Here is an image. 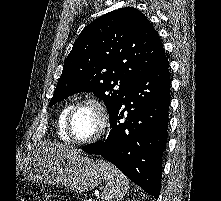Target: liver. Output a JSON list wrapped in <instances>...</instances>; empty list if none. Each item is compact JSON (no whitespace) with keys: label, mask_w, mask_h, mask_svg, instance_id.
<instances>
[{"label":"liver","mask_w":221,"mask_h":201,"mask_svg":"<svg viewBox=\"0 0 221 201\" xmlns=\"http://www.w3.org/2000/svg\"><path fill=\"white\" fill-rule=\"evenodd\" d=\"M52 150H55V151H59V152H66V151H70V149L66 146H62V145H57L55 147H52L50 148Z\"/></svg>","instance_id":"liver-1"}]
</instances>
